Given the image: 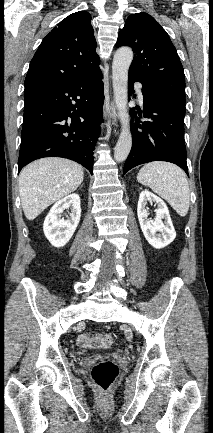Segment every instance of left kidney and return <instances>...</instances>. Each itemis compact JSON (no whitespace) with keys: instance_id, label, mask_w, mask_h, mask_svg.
<instances>
[{"instance_id":"1","label":"left kidney","mask_w":213,"mask_h":433,"mask_svg":"<svg viewBox=\"0 0 213 433\" xmlns=\"http://www.w3.org/2000/svg\"><path fill=\"white\" fill-rule=\"evenodd\" d=\"M155 202L157 205L156 219L150 221L147 219L149 213L146 209V203ZM137 215L142 232L148 243L156 249H161L169 245L176 237L169 210L165 202L153 193L144 190L140 193ZM165 220L164 222L162 220ZM160 232V234H157Z\"/></svg>"}]
</instances>
